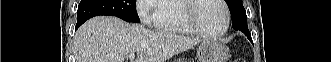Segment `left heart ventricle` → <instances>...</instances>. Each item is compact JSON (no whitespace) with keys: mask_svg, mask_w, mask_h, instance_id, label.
Returning <instances> with one entry per match:
<instances>
[{"mask_svg":"<svg viewBox=\"0 0 331 62\" xmlns=\"http://www.w3.org/2000/svg\"><path fill=\"white\" fill-rule=\"evenodd\" d=\"M195 17L203 29L211 33L224 28V11L215 0H202L196 7Z\"/></svg>","mask_w":331,"mask_h":62,"instance_id":"obj_1","label":"left heart ventricle"}]
</instances>
